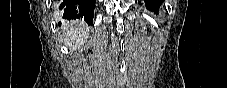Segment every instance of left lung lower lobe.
<instances>
[{"mask_svg": "<svg viewBox=\"0 0 227 88\" xmlns=\"http://www.w3.org/2000/svg\"><path fill=\"white\" fill-rule=\"evenodd\" d=\"M147 9L158 12L163 0H144Z\"/></svg>", "mask_w": 227, "mask_h": 88, "instance_id": "left-lung-lower-lobe-1", "label": "left lung lower lobe"}]
</instances>
